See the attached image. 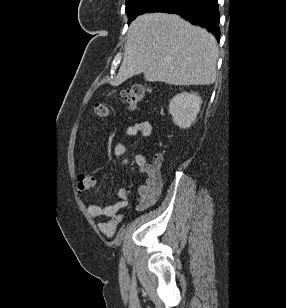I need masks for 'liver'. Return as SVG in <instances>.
Returning a JSON list of instances; mask_svg holds the SVG:
<instances>
[{
    "instance_id": "1",
    "label": "liver",
    "mask_w": 286,
    "mask_h": 308,
    "mask_svg": "<svg viewBox=\"0 0 286 308\" xmlns=\"http://www.w3.org/2000/svg\"><path fill=\"white\" fill-rule=\"evenodd\" d=\"M215 37L178 15L149 13L129 26L125 53L113 85L143 73L148 82L210 85L216 79Z\"/></svg>"
}]
</instances>
